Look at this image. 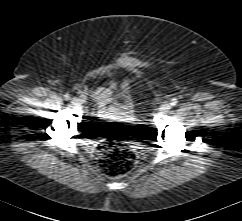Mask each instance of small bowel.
Wrapping results in <instances>:
<instances>
[{
	"label": "small bowel",
	"instance_id": "obj_1",
	"mask_svg": "<svg viewBox=\"0 0 242 221\" xmlns=\"http://www.w3.org/2000/svg\"><path fill=\"white\" fill-rule=\"evenodd\" d=\"M115 91L116 84L114 81H110L106 87L96 89L91 87L86 88L88 96L97 105L96 115L99 118H108L111 113L119 110V108L113 103Z\"/></svg>",
	"mask_w": 242,
	"mask_h": 221
}]
</instances>
